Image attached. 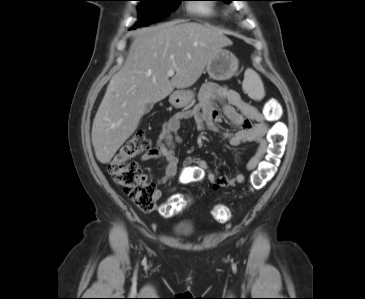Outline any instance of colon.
Here are the masks:
<instances>
[{"label": "colon", "instance_id": "colon-1", "mask_svg": "<svg viewBox=\"0 0 365 299\" xmlns=\"http://www.w3.org/2000/svg\"><path fill=\"white\" fill-rule=\"evenodd\" d=\"M278 113V105L270 102L266 116L276 118ZM285 140L286 126L278 122L269 133L266 158L250 178L251 190L263 188L273 178L284 153ZM148 147L149 142L144 130H138L118 149L108 164V173L113 181L144 212L155 209L157 188L155 183L142 173L134 158L145 152ZM186 204L182 197L177 196L168 200L161 207V211L166 216H172L183 211ZM211 213L219 222H226L231 216L230 210L221 205L215 206Z\"/></svg>", "mask_w": 365, "mask_h": 299}]
</instances>
